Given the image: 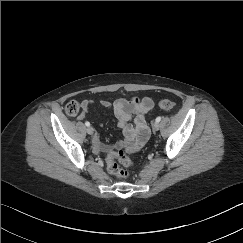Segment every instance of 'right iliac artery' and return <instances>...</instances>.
Here are the masks:
<instances>
[{
  "mask_svg": "<svg viewBox=\"0 0 243 243\" xmlns=\"http://www.w3.org/2000/svg\"><path fill=\"white\" fill-rule=\"evenodd\" d=\"M85 125H86L87 127H89V126H90V123H89L88 121H86V122H85Z\"/></svg>",
  "mask_w": 243,
  "mask_h": 243,
  "instance_id": "right-iliac-artery-1",
  "label": "right iliac artery"
}]
</instances>
